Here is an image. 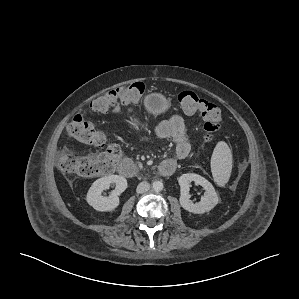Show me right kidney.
<instances>
[{"label":"right kidney","instance_id":"right-kidney-1","mask_svg":"<svg viewBox=\"0 0 299 299\" xmlns=\"http://www.w3.org/2000/svg\"><path fill=\"white\" fill-rule=\"evenodd\" d=\"M115 184V189L109 196H103L104 190ZM127 188V180L120 175H109L97 179L89 188L86 196L87 203L101 212L113 211L119 205V195Z\"/></svg>","mask_w":299,"mask_h":299}]
</instances>
